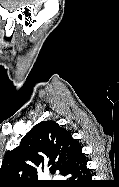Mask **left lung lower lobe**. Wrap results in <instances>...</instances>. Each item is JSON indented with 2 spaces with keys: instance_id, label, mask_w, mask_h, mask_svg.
<instances>
[{
  "instance_id": "obj_1",
  "label": "left lung lower lobe",
  "mask_w": 119,
  "mask_h": 187,
  "mask_svg": "<svg viewBox=\"0 0 119 187\" xmlns=\"http://www.w3.org/2000/svg\"><path fill=\"white\" fill-rule=\"evenodd\" d=\"M67 175L71 176V179L80 182H86L90 178L89 170L86 167L85 156L79 144L73 148L67 171L63 176Z\"/></svg>"
}]
</instances>
